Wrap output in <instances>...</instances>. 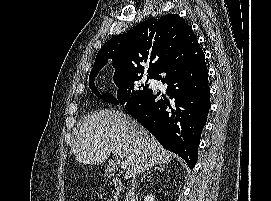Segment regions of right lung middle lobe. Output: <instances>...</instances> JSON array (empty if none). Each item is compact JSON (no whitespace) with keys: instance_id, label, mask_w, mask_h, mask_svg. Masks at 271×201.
<instances>
[{"instance_id":"obj_1","label":"right lung middle lobe","mask_w":271,"mask_h":201,"mask_svg":"<svg viewBox=\"0 0 271 201\" xmlns=\"http://www.w3.org/2000/svg\"><path fill=\"white\" fill-rule=\"evenodd\" d=\"M96 75L89 77V87L94 94L105 102L113 104H126L134 98L141 96L150 90L149 84H141L140 80L142 75H130V74H114V83L118 87L117 96L110 93L100 94L95 86L94 80ZM153 79L154 75H147L148 79Z\"/></svg>"}]
</instances>
